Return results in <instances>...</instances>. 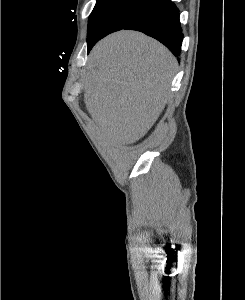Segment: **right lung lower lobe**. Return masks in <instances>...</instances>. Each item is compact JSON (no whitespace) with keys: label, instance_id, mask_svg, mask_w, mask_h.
Returning a JSON list of instances; mask_svg holds the SVG:
<instances>
[{"label":"right lung lower lobe","instance_id":"right-lung-lower-lobe-1","mask_svg":"<svg viewBox=\"0 0 245 300\" xmlns=\"http://www.w3.org/2000/svg\"><path fill=\"white\" fill-rule=\"evenodd\" d=\"M123 29L141 31L163 43L175 56L180 54L183 33L179 10L171 0L156 6ZM96 42L88 46V51Z\"/></svg>","mask_w":245,"mask_h":300}]
</instances>
